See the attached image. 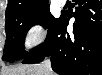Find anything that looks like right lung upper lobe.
<instances>
[{"label":"right lung upper lobe","mask_w":102,"mask_h":75,"mask_svg":"<svg viewBox=\"0 0 102 75\" xmlns=\"http://www.w3.org/2000/svg\"><path fill=\"white\" fill-rule=\"evenodd\" d=\"M48 4V0H8L5 15L38 9Z\"/></svg>","instance_id":"right-lung-upper-lobe-1"}]
</instances>
